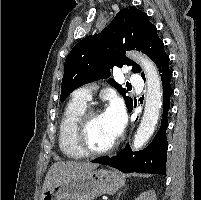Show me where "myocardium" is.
I'll return each mask as SVG.
<instances>
[{"instance_id": "f54148a6", "label": "myocardium", "mask_w": 201, "mask_h": 200, "mask_svg": "<svg viewBox=\"0 0 201 200\" xmlns=\"http://www.w3.org/2000/svg\"><path fill=\"white\" fill-rule=\"evenodd\" d=\"M103 111L97 107H88L78 118L74 128V141L77 148L87 156L104 155L112 152L118 145L115 139L113 143L103 149H92L86 142V129L89 121L96 115L102 114Z\"/></svg>"}]
</instances>
